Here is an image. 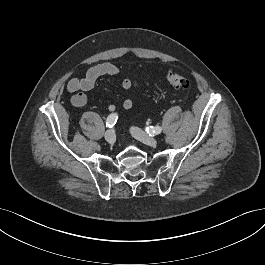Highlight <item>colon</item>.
<instances>
[{
    "label": "colon",
    "instance_id": "obj_1",
    "mask_svg": "<svg viewBox=\"0 0 265 265\" xmlns=\"http://www.w3.org/2000/svg\"><path fill=\"white\" fill-rule=\"evenodd\" d=\"M167 80L177 89H187L190 85L189 80L186 77L177 73H168Z\"/></svg>",
    "mask_w": 265,
    "mask_h": 265
}]
</instances>
